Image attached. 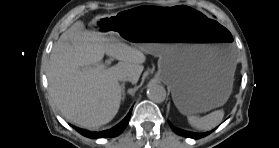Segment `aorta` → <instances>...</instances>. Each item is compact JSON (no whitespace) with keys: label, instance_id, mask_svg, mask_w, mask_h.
I'll use <instances>...</instances> for the list:
<instances>
[{"label":"aorta","instance_id":"aorta-1","mask_svg":"<svg viewBox=\"0 0 279 148\" xmlns=\"http://www.w3.org/2000/svg\"><path fill=\"white\" fill-rule=\"evenodd\" d=\"M147 97L156 103L163 102L166 98V90L158 84H151L147 89Z\"/></svg>","mask_w":279,"mask_h":148}]
</instances>
